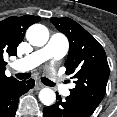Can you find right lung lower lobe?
I'll list each match as a JSON object with an SVG mask.
<instances>
[{
  "label": "right lung lower lobe",
  "instance_id": "obj_1",
  "mask_svg": "<svg viewBox=\"0 0 117 117\" xmlns=\"http://www.w3.org/2000/svg\"><path fill=\"white\" fill-rule=\"evenodd\" d=\"M35 81H15L0 92V117H14L21 95L33 88Z\"/></svg>",
  "mask_w": 117,
  "mask_h": 117
}]
</instances>
